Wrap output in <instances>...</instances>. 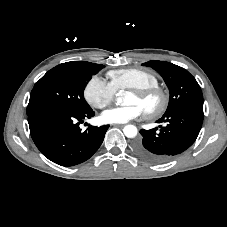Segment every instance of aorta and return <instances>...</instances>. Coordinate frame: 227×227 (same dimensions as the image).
I'll return each mask as SVG.
<instances>
[{
  "mask_svg": "<svg viewBox=\"0 0 227 227\" xmlns=\"http://www.w3.org/2000/svg\"><path fill=\"white\" fill-rule=\"evenodd\" d=\"M123 132L126 137L134 138V137H136L138 130H137L136 126H134V125H126L123 129Z\"/></svg>",
  "mask_w": 227,
  "mask_h": 227,
  "instance_id": "obj_1",
  "label": "aorta"
}]
</instances>
